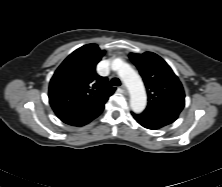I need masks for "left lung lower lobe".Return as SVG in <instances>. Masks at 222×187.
Returning <instances> with one entry per match:
<instances>
[{
  "mask_svg": "<svg viewBox=\"0 0 222 187\" xmlns=\"http://www.w3.org/2000/svg\"><path fill=\"white\" fill-rule=\"evenodd\" d=\"M179 113L175 110L146 108L141 114L132 113V116L143 127L156 130L174 122Z\"/></svg>",
  "mask_w": 222,
  "mask_h": 187,
  "instance_id": "0a47b994",
  "label": "left lung lower lobe"
}]
</instances>
